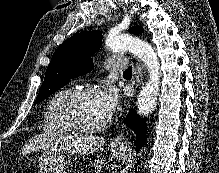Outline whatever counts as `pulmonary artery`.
<instances>
[{
	"instance_id": "1",
	"label": "pulmonary artery",
	"mask_w": 219,
	"mask_h": 173,
	"mask_svg": "<svg viewBox=\"0 0 219 173\" xmlns=\"http://www.w3.org/2000/svg\"><path fill=\"white\" fill-rule=\"evenodd\" d=\"M109 71H124L127 69V59L121 56H109L105 61Z\"/></svg>"
}]
</instances>
